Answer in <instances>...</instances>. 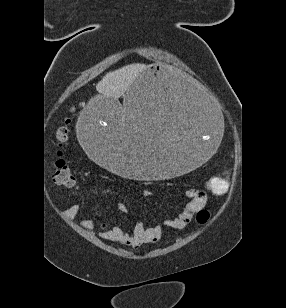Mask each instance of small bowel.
I'll use <instances>...</instances> for the list:
<instances>
[{
    "label": "small bowel",
    "instance_id": "small-bowel-1",
    "mask_svg": "<svg viewBox=\"0 0 286 308\" xmlns=\"http://www.w3.org/2000/svg\"><path fill=\"white\" fill-rule=\"evenodd\" d=\"M151 194L150 190L144 191L145 196H150ZM186 196L189 201L182 213L175 218L166 220L163 225L145 227L141 222H137L131 231H126L118 226L110 229L103 228L101 237L132 248H139L145 244H154L161 239L164 227L172 229L186 228L192 222L197 211L203 208L207 201L205 192L197 188L187 189ZM117 209L122 213L128 212V207L123 203H118ZM80 210L81 206L74 204L65 211V217L72 219L79 214ZM94 225L95 220L93 218L86 219L80 223V226L87 230L92 229Z\"/></svg>",
    "mask_w": 286,
    "mask_h": 308
}]
</instances>
